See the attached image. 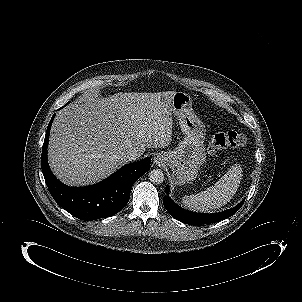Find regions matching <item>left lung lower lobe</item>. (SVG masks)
<instances>
[{
  "instance_id": "1",
  "label": "left lung lower lobe",
  "mask_w": 302,
  "mask_h": 302,
  "mask_svg": "<svg viewBox=\"0 0 302 302\" xmlns=\"http://www.w3.org/2000/svg\"><path fill=\"white\" fill-rule=\"evenodd\" d=\"M169 189L166 188V193H168ZM244 200H242L237 206L233 207L232 209L215 213V214H203V213H195L190 212L185 209H182L178 205H176L170 197L165 196L163 198V205L170 213L172 217L176 220L192 225H199V224H210L217 222L222 219H226L236 213L241 206L243 205Z\"/></svg>"
}]
</instances>
